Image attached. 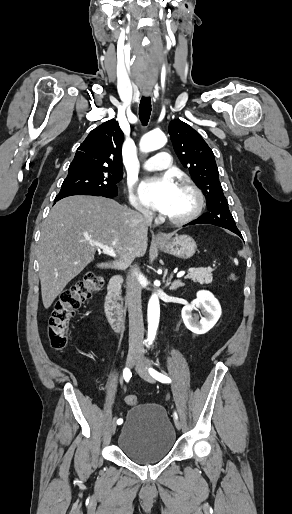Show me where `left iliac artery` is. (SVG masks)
Listing matches in <instances>:
<instances>
[{
    "instance_id": "1",
    "label": "left iliac artery",
    "mask_w": 292,
    "mask_h": 514,
    "mask_svg": "<svg viewBox=\"0 0 292 514\" xmlns=\"http://www.w3.org/2000/svg\"><path fill=\"white\" fill-rule=\"evenodd\" d=\"M149 373H150V375L153 378H155L156 380H158V381H160L162 383H170L171 382V379L169 377L159 373L158 371H156L153 368H149ZM175 418H177V414L176 413H175Z\"/></svg>"
}]
</instances>
